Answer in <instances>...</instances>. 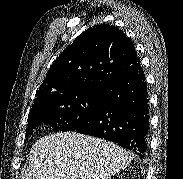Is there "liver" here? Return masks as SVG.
Segmentation results:
<instances>
[{
  "label": "liver",
  "mask_w": 183,
  "mask_h": 179,
  "mask_svg": "<svg viewBox=\"0 0 183 179\" xmlns=\"http://www.w3.org/2000/svg\"><path fill=\"white\" fill-rule=\"evenodd\" d=\"M129 152L76 132L55 133L32 147L22 179H110L131 162Z\"/></svg>",
  "instance_id": "obj_1"
}]
</instances>
